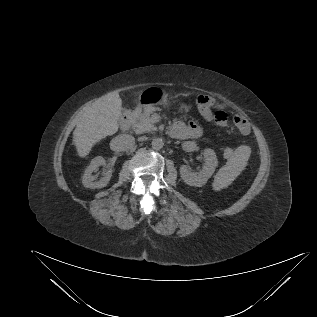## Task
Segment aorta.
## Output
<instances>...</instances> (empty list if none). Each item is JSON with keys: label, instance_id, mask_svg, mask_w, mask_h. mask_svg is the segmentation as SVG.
<instances>
[{"label": "aorta", "instance_id": "obj_1", "mask_svg": "<svg viewBox=\"0 0 317 317\" xmlns=\"http://www.w3.org/2000/svg\"><path fill=\"white\" fill-rule=\"evenodd\" d=\"M152 148L155 150H160L164 146L162 138H154L151 142Z\"/></svg>", "mask_w": 317, "mask_h": 317}]
</instances>
